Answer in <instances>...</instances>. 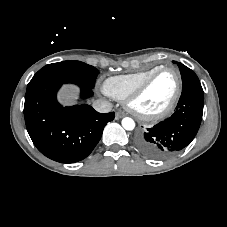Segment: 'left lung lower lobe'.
Returning <instances> with one entry per match:
<instances>
[{
	"label": "left lung lower lobe",
	"mask_w": 227,
	"mask_h": 227,
	"mask_svg": "<svg viewBox=\"0 0 227 227\" xmlns=\"http://www.w3.org/2000/svg\"><path fill=\"white\" fill-rule=\"evenodd\" d=\"M204 92H182L175 113L138 134L136 145L144 155L161 159L185 148L194 139L203 115Z\"/></svg>",
	"instance_id": "obj_1"
}]
</instances>
